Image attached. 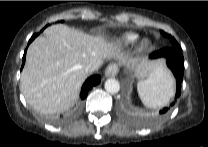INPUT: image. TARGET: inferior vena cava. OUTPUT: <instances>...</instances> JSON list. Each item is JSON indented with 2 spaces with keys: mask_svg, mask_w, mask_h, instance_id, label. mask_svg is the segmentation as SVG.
Returning <instances> with one entry per match:
<instances>
[{
  "mask_svg": "<svg viewBox=\"0 0 208 147\" xmlns=\"http://www.w3.org/2000/svg\"><path fill=\"white\" fill-rule=\"evenodd\" d=\"M84 69H85L86 73H91L95 70V67L93 65L89 64V65H86Z\"/></svg>",
  "mask_w": 208,
  "mask_h": 147,
  "instance_id": "inferior-vena-cava-1",
  "label": "inferior vena cava"
}]
</instances>
